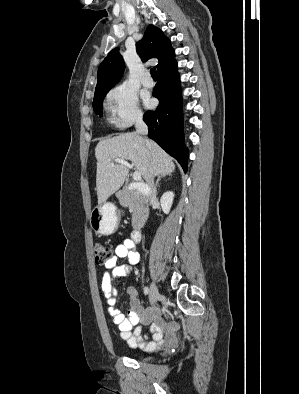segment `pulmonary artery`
Listing matches in <instances>:
<instances>
[{
	"mask_svg": "<svg viewBox=\"0 0 299 394\" xmlns=\"http://www.w3.org/2000/svg\"><path fill=\"white\" fill-rule=\"evenodd\" d=\"M142 85L147 88H151L154 85V82H153L152 78L150 77L149 73H146L144 75V77L142 78Z\"/></svg>",
	"mask_w": 299,
	"mask_h": 394,
	"instance_id": "obj_1",
	"label": "pulmonary artery"
}]
</instances>
